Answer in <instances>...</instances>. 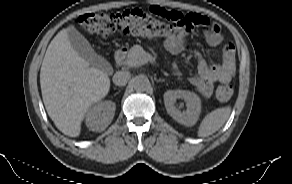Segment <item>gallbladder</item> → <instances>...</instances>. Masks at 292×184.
Segmentation results:
<instances>
[{
  "label": "gallbladder",
  "mask_w": 292,
  "mask_h": 184,
  "mask_svg": "<svg viewBox=\"0 0 292 184\" xmlns=\"http://www.w3.org/2000/svg\"><path fill=\"white\" fill-rule=\"evenodd\" d=\"M68 39L71 43L72 48L90 65L101 69L106 70L108 67L107 61L100 55H98L94 49L91 47L88 40L80 34L76 29L71 28L67 32Z\"/></svg>",
  "instance_id": "gallbladder-1"
}]
</instances>
